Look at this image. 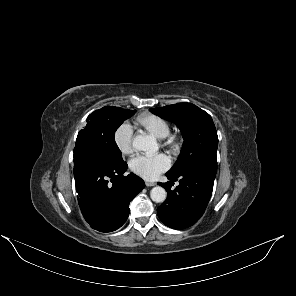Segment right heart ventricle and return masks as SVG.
I'll list each match as a JSON object with an SVG mask.
<instances>
[{"mask_svg": "<svg viewBox=\"0 0 296 296\" xmlns=\"http://www.w3.org/2000/svg\"><path fill=\"white\" fill-rule=\"evenodd\" d=\"M135 123L157 139H163L170 133V123L163 117L144 113L137 117Z\"/></svg>", "mask_w": 296, "mask_h": 296, "instance_id": "e07e8e85", "label": "right heart ventricle"}]
</instances>
